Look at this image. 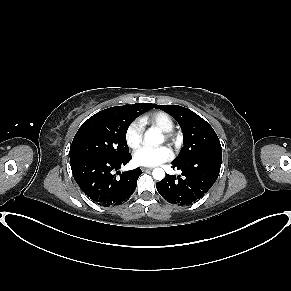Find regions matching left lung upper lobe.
<instances>
[{
    "mask_svg": "<svg viewBox=\"0 0 291 291\" xmlns=\"http://www.w3.org/2000/svg\"><path fill=\"white\" fill-rule=\"evenodd\" d=\"M172 117L181 126L184 146L174 162H181L193 156L222 152L220 141L210 124L199 115L178 105H156Z\"/></svg>",
    "mask_w": 291,
    "mask_h": 291,
    "instance_id": "obj_1",
    "label": "left lung upper lobe"
}]
</instances>
